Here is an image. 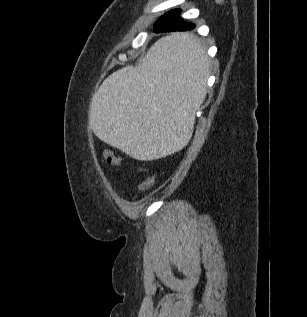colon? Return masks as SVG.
<instances>
[{"label":"colon","mask_w":307,"mask_h":317,"mask_svg":"<svg viewBox=\"0 0 307 317\" xmlns=\"http://www.w3.org/2000/svg\"><path fill=\"white\" fill-rule=\"evenodd\" d=\"M101 159L108 165L118 166L122 163V158L115 155L111 150L105 149L102 151ZM155 183V176L149 175L147 176L138 186L139 191H145L150 189Z\"/></svg>","instance_id":"5ec220e1"}]
</instances>
